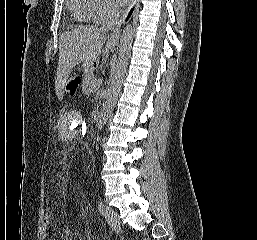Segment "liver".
<instances>
[{"label":"liver","instance_id":"liver-1","mask_svg":"<svg viewBox=\"0 0 257 240\" xmlns=\"http://www.w3.org/2000/svg\"><path fill=\"white\" fill-rule=\"evenodd\" d=\"M106 41L105 31L97 26H80L63 33L59 38V60L55 78L57 97L62 100L64 87L73 68L84 63L91 65L101 54Z\"/></svg>","mask_w":257,"mask_h":240}]
</instances>
